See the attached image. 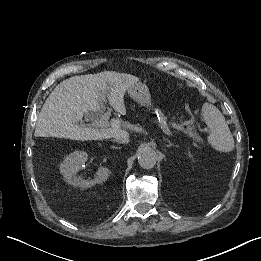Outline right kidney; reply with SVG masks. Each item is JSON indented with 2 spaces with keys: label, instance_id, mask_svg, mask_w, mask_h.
I'll return each instance as SVG.
<instances>
[{
  "label": "right kidney",
  "instance_id": "obj_1",
  "mask_svg": "<svg viewBox=\"0 0 261 261\" xmlns=\"http://www.w3.org/2000/svg\"><path fill=\"white\" fill-rule=\"evenodd\" d=\"M87 161L86 152H74L65 158L60 165V172L64 177V180L73 186L81 188H89L95 184L103 183L107 180L109 170L104 167H100L96 173V176L92 180H80L75 175L79 171V167Z\"/></svg>",
  "mask_w": 261,
  "mask_h": 261
}]
</instances>
